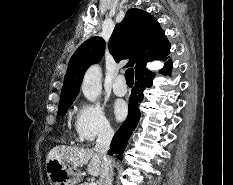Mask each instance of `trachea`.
Segmentation results:
<instances>
[{"mask_svg": "<svg viewBox=\"0 0 233 185\" xmlns=\"http://www.w3.org/2000/svg\"><path fill=\"white\" fill-rule=\"evenodd\" d=\"M125 79L127 84H133L134 83V69L129 68L125 72Z\"/></svg>", "mask_w": 233, "mask_h": 185, "instance_id": "1", "label": "trachea"}]
</instances>
